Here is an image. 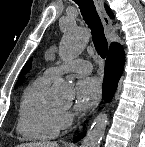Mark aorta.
Here are the masks:
<instances>
[{"label": "aorta", "mask_w": 145, "mask_h": 147, "mask_svg": "<svg viewBox=\"0 0 145 147\" xmlns=\"http://www.w3.org/2000/svg\"><path fill=\"white\" fill-rule=\"evenodd\" d=\"M89 41L88 32L81 27H68L62 37L59 53L63 60H70L77 57L86 47ZM72 86L69 82L59 79L52 90V96L63 100L71 96ZM108 123L107 115L99 114L93 121L82 147H100Z\"/></svg>", "instance_id": "obj_1"}]
</instances>
